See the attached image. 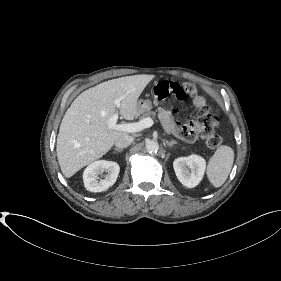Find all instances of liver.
Masks as SVG:
<instances>
[{"label": "liver", "mask_w": 281, "mask_h": 281, "mask_svg": "<svg viewBox=\"0 0 281 281\" xmlns=\"http://www.w3.org/2000/svg\"><path fill=\"white\" fill-rule=\"evenodd\" d=\"M152 75H133L108 80L82 92L67 109L57 137V159L63 175L70 178L86 165L105 155L128 132L111 129L109 119L120 101L122 118L138 116L137 101Z\"/></svg>", "instance_id": "1"}]
</instances>
